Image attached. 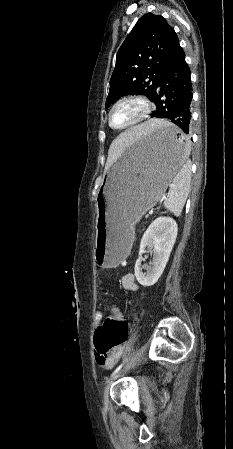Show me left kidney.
<instances>
[{
    "label": "left kidney",
    "instance_id": "obj_1",
    "mask_svg": "<svg viewBox=\"0 0 233 449\" xmlns=\"http://www.w3.org/2000/svg\"><path fill=\"white\" fill-rule=\"evenodd\" d=\"M178 226L170 217H158L145 231L139 250V257L135 264V276L139 284L144 287L154 285L162 275L169 260L170 253L176 241ZM153 253L152 267L143 273L145 267L141 265L142 254Z\"/></svg>",
    "mask_w": 233,
    "mask_h": 449
}]
</instances>
